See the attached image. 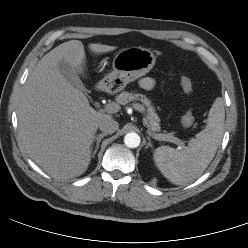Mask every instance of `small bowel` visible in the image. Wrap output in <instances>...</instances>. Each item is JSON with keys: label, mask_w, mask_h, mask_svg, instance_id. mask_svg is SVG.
Segmentation results:
<instances>
[{"label": "small bowel", "mask_w": 248, "mask_h": 248, "mask_svg": "<svg viewBox=\"0 0 248 248\" xmlns=\"http://www.w3.org/2000/svg\"><path fill=\"white\" fill-rule=\"evenodd\" d=\"M139 86L143 90H151L155 86V80L151 77H143L139 81Z\"/></svg>", "instance_id": "obj_1"}]
</instances>
